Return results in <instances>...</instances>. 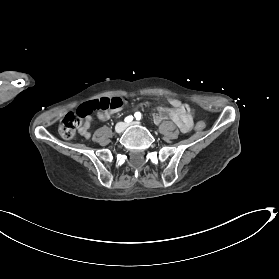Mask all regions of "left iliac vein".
Instances as JSON below:
<instances>
[{"label":"left iliac vein","instance_id":"4c4485c4","mask_svg":"<svg viewBox=\"0 0 279 279\" xmlns=\"http://www.w3.org/2000/svg\"><path fill=\"white\" fill-rule=\"evenodd\" d=\"M137 125H139V123L134 121V122H131V123L127 124L126 127L137 126Z\"/></svg>","mask_w":279,"mask_h":279}]
</instances>
